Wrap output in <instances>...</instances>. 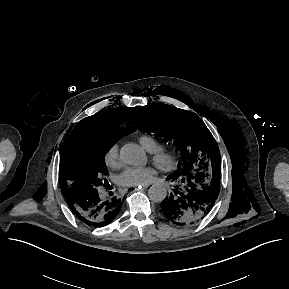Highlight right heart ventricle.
Listing matches in <instances>:
<instances>
[{"instance_id": "right-heart-ventricle-1", "label": "right heart ventricle", "mask_w": 289, "mask_h": 289, "mask_svg": "<svg viewBox=\"0 0 289 289\" xmlns=\"http://www.w3.org/2000/svg\"><path fill=\"white\" fill-rule=\"evenodd\" d=\"M139 141L142 146L149 152L156 151L162 147V144L156 138L148 134L139 136Z\"/></svg>"}]
</instances>
